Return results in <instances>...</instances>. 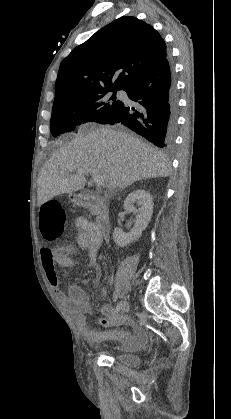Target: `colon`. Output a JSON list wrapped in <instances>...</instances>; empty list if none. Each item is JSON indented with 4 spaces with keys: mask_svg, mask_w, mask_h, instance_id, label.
I'll return each mask as SVG.
<instances>
[{
    "mask_svg": "<svg viewBox=\"0 0 231 419\" xmlns=\"http://www.w3.org/2000/svg\"><path fill=\"white\" fill-rule=\"evenodd\" d=\"M42 227L49 240L57 237L60 230L65 227L66 219L64 209L57 203H45L41 208Z\"/></svg>",
    "mask_w": 231,
    "mask_h": 419,
    "instance_id": "colon-1",
    "label": "colon"
}]
</instances>
